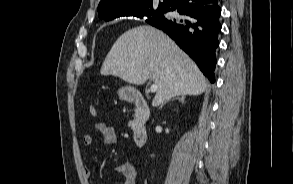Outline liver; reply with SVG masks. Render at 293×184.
Returning a JSON list of instances; mask_svg holds the SVG:
<instances>
[{
	"instance_id": "liver-1",
	"label": "liver",
	"mask_w": 293,
	"mask_h": 184,
	"mask_svg": "<svg viewBox=\"0 0 293 184\" xmlns=\"http://www.w3.org/2000/svg\"><path fill=\"white\" fill-rule=\"evenodd\" d=\"M102 75L143 85L152 79L158 85L153 106L184 95H200L208 81L193 60L164 32L149 25L124 32L107 54Z\"/></svg>"
}]
</instances>
